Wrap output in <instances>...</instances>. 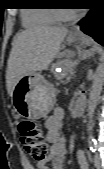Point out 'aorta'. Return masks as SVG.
Here are the masks:
<instances>
[{"instance_id":"1","label":"aorta","mask_w":104,"mask_h":169,"mask_svg":"<svg viewBox=\"0 0 104 169\" xmlns=\"http://www.w3.org/2000/svg\"><path fill=\"white\" fill-rule=\"evenodd\" d=\"M104 85V72L101 68H98L94 74L91 90L89 93L88 105H87V132L89 138L92 139V132L94 128V114L100 98L102 89Z\"/></svg>"}]
</instances>
